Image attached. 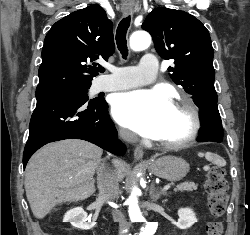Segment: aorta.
Segmentation results:
<instances>
[{
    "mask_svg": "<svg viewBox=\"0 0 250 235\" xmlns=\"http://www.w3.org/2000/svg\"><path fill=\"white\" fill-rule=\"evenodd\" d=\"M150 44L151 36L147 32H135L130 37V47L133 50L146 49L150 46ZM138 194L139 189L134 187L128 198V213L132 222H145V218L143 217L138 205ZM157 226V222H146L139 235H154L157 230Z\"/></svg>",
    "mask_w": 250,
    "mask_h": 235,
    "instance_id": "1",
    "label": "aorta"
}]
</instances>
